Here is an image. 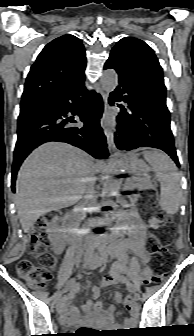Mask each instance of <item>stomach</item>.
Returning a JSON list of instances; mask_svg holds the SVG:
<instances>
[{"mask_svg":"<svg viewBox=\"0 0 194 336\" xmlns=\"http://www.w3.org/2000/svg\"><path fill=\"white\" fill-rule=\"evenodd\" d=\"M129 167L138 176H146L150 170L148 165L134 154L129 156Z\"/></svg>","mask_w":194,"mask_h":336,"instance_id":"0dacf381","label":"stomach"}]
</instances>
